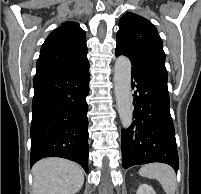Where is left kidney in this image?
<instances>
[{
    "instance_id": "obj_1",
    "label": "left kidney",
    "mask_w": 201,
    "mask_h": 194,
    "mask_svg": "<svg viewBox=\"0 0 201 194\" xmlns=\"http://www.w3.org/2000/svg\"><path fill=\"white\" fill-rule=\"evenodd\" d=\"M136 194H156V193L151 186L147 184H141Z\"/></svg>"
}]
</instances>
